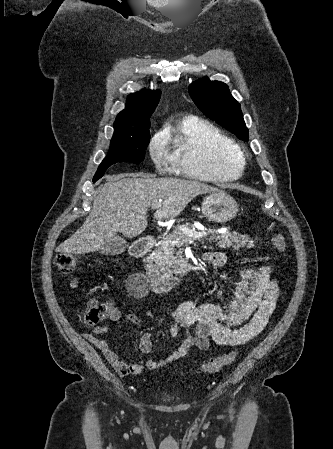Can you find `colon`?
<instances>
[{"label":"colon","instance_id":"colon-1","mask_svg":"<svg viewBox=\"0 0 333 449\" xmlns=\"http://www.w3.org/2000/svg\"><path fill=\"white\" fill-rule=\"evenodd\" d=\"M271 242L278 251H286L287 243L280 234H272ZM53 263L61 273L68 274L75 269L77 265V257L72 253L57 252L54 255ZM112 310L113 306L110 303L94 302L87 306L83 319L88 325L103 327L102 324L110 315ZM236 356L237 351L232 350L217 357H213L202 365V370L210 373L219 371L223 367L232 363Z\"/></svg>","mask_w":333,"mask_h":449}]
</instances>
